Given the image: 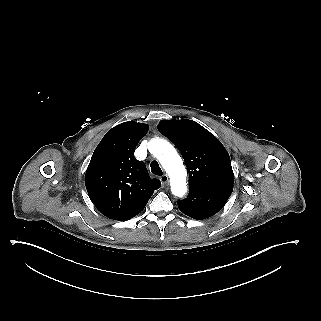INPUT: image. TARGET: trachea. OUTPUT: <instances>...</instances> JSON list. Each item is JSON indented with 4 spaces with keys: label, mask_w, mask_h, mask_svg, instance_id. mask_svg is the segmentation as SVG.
Masks as SVG:
<instances>
[{
    "label": "trachea",
    "mask_w": 321,
    "mask_h": 321,
    "mask_svg": "<svg viewBox=\"0 0 321 321\" xmlns=\"http://www.w3.org/2000/svg\"><path fill=\"white\" fill-rule=\"evenodd\" d=\"M150 167H151V172L154 174V175H158V176H161L163 173H162V170L158 164V162L156 160H153L150 164Z\"/></svg>",
    "instance_id": "obj_1"
}]
</instances>
